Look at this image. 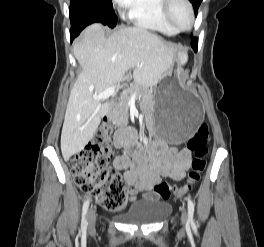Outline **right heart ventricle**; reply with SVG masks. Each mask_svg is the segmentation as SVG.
I'll return each instance as SVG.
<instances>
[{"label": "right heart ventricle", "instance_id": "e07e8e85", "mask_svg": "<svg viewBox=\"0 0 264 247\" xmlns=\"http://www.w3.org/2000/svg\"><path fill=\"white\" fill-rule=\"evenodd\" d=\"M163 2L164 0H133L128 17L138 27L163 34H174L176 30L163 13Z\"/></svg>", "mask_w": 264, "mask_h": 247}]
</instances>
